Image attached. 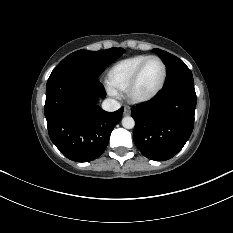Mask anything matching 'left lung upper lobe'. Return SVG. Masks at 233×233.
Here are the masks:
<instances>
[{
    "instance_id": "5c2ea615",
    "label": "left lung upper lobe",
    "mask_w": 233,
    "mask_h": 233,
    "mask_svg": "<svg viewBox=\"0 0 233 233\" xmlns=\"http://www.w3.org/2000/svg\"><path fill=\"white\" fill-rule=\"evenodd\" d=\"M153 51L161 57L167 66L168 76L164 87L178 82H193L192 73L182 60L160 49H153Z\"/></svg>"
}]
</instances>
